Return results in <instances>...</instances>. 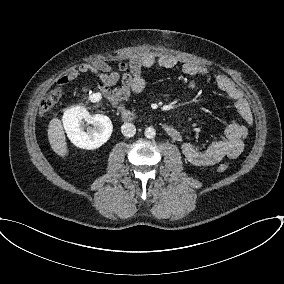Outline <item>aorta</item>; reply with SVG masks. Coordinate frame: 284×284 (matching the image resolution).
Returning <instances> with one entry per match:
<instances>
[{"mask_svg":"<svg viewBox=\"0 0 284 284\" xmlns=\"http://www.w3.org/2000/svg\"><path fill=\"white\" fill-rule=\"evenodd\" d=\"M144 134L147 138L152 139V138L155 137L156 131L153 127H148V128L145 129Z\"/></svg>","mask_w":284,"mask_h":284,"instance_id":"aorta-1","label":"aorta"}]
</instances>
